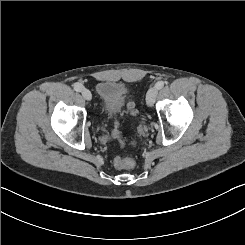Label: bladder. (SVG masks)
<instances>
[{
    "label": "bladder",
    "mask_w": 245,
    "mask_h": 245,
    "mask_svg": "<svg viewBox=\"0 0 245 245\" xmlns=\"http://www.w3.org/2000/svg\"><path fill=\"white\" fill-rule=\"evenodd\" d=\"M97 93L109 116L117 115L122 112L125 95L122 84L113 81H101L97 87Z\"/></svg>",
    "instance_id": "31cf9c89"
}]
</instances>
